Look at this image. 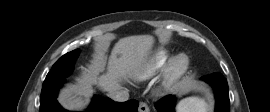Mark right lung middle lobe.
<instances>
[{"label": "right lung middle lobe", "instance_id": "1", "mask_svg": "<svg viewBox=\"0 0 270 112\" xmlns=\"http://www.w3.org/2000/svg\"><path fill=\"white\" fill-rule=\"evenodd\" d=\"M79 53V49H76L66 53L60 59H58L50 72L47 74L44 82L48 83L49 85H57L63 83L64 78L72 73L75 61L78 58Z\"/></svg>", "mask_w": 270, "mask_h": 112}]
</instances>
